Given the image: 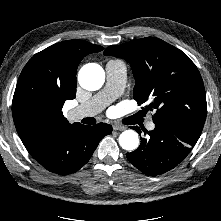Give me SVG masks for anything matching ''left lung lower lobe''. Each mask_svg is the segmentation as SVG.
<instances>
[{
    "label": "left lung lower lobe",
    "instance_id": "left-lung-lower-lobe-1",
    "mask_svg": "<svg viewBox=\"0 0 221 221\" xmlns=\"http://www.w3.org/2000/svg\"><path fill=\"white\" fill-rule=\"evenodd\" d=\"M133 129L141 133L139 127ZM145 132L149 137L141 138L140 146L126 156L142 173L155 176L176 167L194 147L202 130L188 125L155 124L154 130Z\"/></svg>",
    "mask_w": 221,
    "mask_h": 221
}]
</instances>
